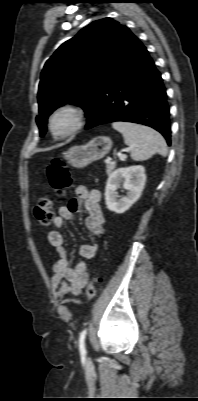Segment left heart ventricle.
<instances>
[{
  "instance_id": "b2bd125f",
  "label": "left heart ventricle",
  "mask_w": 198,
  "mask_h": 401,
  "mask_svg": "<svg viewBox=\"0 0 198 401\" xmlns=\"http://www.w3.org/2000/svg\"><path fill=\"white\" fill-rule=\"evenodd\" d=\"M71 126V120L67 116H60L54 121V129L57 132H63Z\"/></svg>"
}]
</instances>
